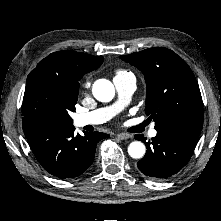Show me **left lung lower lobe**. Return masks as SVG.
Here are the masks:
<instances>
[{"label": "left lung lower lobe", "instance_id": "1", "mask_svg": "<svg viewBox=\"0 0 221 221\" xmlns=\"http://www.w3.org/2000/svg\"><path fill=\"white\" fill-rule=\"evenodd\" d=\"M201 130L169 127L157 130L151 142H145L146 155L137 163L139 170L153 179L168 178L179 172L190 160ZM145 141L143 135H135Z\"/></svg>", "mask_w": 221, "mask_h": 221}]
</instances>
